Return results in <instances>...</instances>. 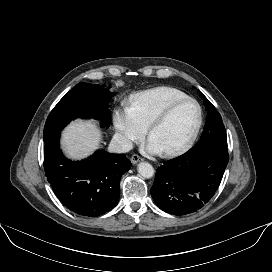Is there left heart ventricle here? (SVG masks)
<instances>
[{
    "label": "left heart ventricle",
    "mask_w": 272,
    "mask_h": 272,
    "mask_svg": "<svg viewBox=\"0 0 272 272\" xmlns=\"http://www.w3.org/2000/svg\"><path fill=\"white\" fill-rule=\"evenodd\" d=\"M198 118L194 103L186 102L178 106L171 115L160 124L151 137L162 151L181 146L191 135Z\"/></svg>",
    "instance_id": "left-heart-ventricle-1"
}]
</instances>
